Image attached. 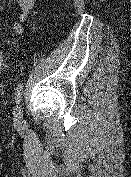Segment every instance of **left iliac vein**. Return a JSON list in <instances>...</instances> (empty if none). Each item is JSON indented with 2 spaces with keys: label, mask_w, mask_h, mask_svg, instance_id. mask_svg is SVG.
<instances>
[{
  "label": "left iliac vein",
  "mask_w": 131,
  "mask_h": 177,
  "mask_svg": "<svg viewBox=\"0 0 131 177\" xmlns=\"http://www.w3.org/2000/svg\"><path fill=\"white\" fill-rule=\"evenodd\" d=\"M14 114H15V119L16 120H19L21 118V112H20V107L19 106H16Z\"/></svg>",
  "instance_id": "1"
}]
</instances>
